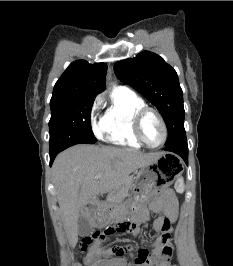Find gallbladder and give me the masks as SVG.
I'll list each match as a JSON object with an SVG mask.
<instances>
[{"label":"gallbladder","mask_w":233,"mask_h":266,"mask_svg":"<svg viewBox=\"0 0 233 266\" xmlns=\"http://www.w3.org/2000/svg\"><path fill=\"white\" fill-rule=\"evenodd\" d=\"M93 230V225L90 219L84 214L80 213L78 218V234L82 237L89 235Z\"/></svg>","instance_id":"1"}]
</instances>
